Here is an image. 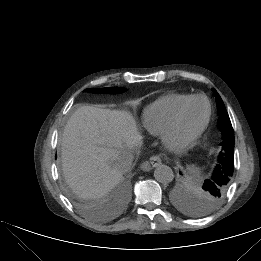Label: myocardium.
Instances as JSON below:
<instances>
[{
	"instance_id": "myocardium-1",
	"label": "myocardium",
	"mask_w": 261,
	"mask_h": 261,
	"mask_svg": "<svg viewBox=\"0 0 261 261\" xmlns=\"http://www.w3.org/2000/svg\"><path fill=\"white\" fill-rule=\"evenodd\" d=\"M195 99H203L207 105L206 116L202 124L190 136L185 138H178L175 135L176 129L179 125L181 116L185 108ZM212 114V106L210 100L202 94H195L186 99L175 111L172 119L161 134V142L167 148L173 151H183L192 147L202 136L209 125Z\"/></svg>"
}]
</instances>
